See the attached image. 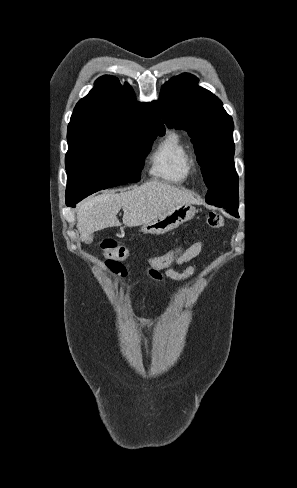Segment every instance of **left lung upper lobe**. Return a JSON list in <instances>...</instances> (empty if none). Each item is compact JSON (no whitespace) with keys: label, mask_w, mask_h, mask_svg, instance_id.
<instances>
[{"label":"left lung upper lobe","mask_w":297,"mask_h":488,"mask_svg":"<svg viewBox=\"0 0 297 488\" xmlns=\"http://www.w3.org/2000/svg\"><path fill=\"white\" fill-rule=\"evenodd\" d=\"M198 79L183 73L171 78L153 105L169 128L184 129L194 144L208 188L206 202L238 215V175L234 166L232 117L210 91L197 85Z\"/></svg>","instance_id":"left-lung-upper-lobe-1"}]
</instances>
